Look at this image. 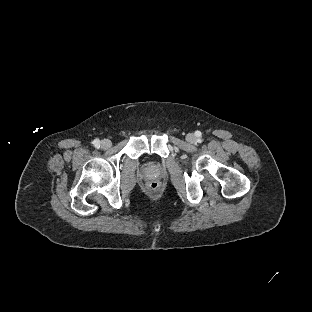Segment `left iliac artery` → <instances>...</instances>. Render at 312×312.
<instances>
[{
  "instance_id": "1",
  "label": "left iliac artery",
  "mask_w": 312,
  "mask_h": 312,
  "mask_svg": "<svg viewBox=\"0 0 312 312\" xmlns=\"http://www.w3.org/2000/svg\"><path fill=\"white\" fill-rule=\"evenodd\" d=\"M196 135H197V136H201V132L197 131V132H196Z\"/></svg>"
}]
</instances>
